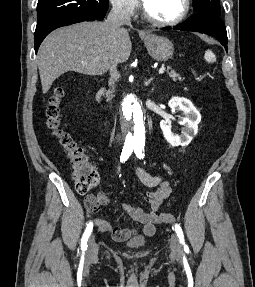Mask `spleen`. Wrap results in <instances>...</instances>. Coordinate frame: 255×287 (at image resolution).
<instances>
[{
    "label": "spleen",
    "instance_id": "1",
    "mask_svg": "<svg viewBox=\"0 0 255 287\" xmlns=\"http://www.w3.org/2000/svg\"><path fill=\"white\" fill-rule=\"evenodd\" d=\"M204 58L207 60V62H216V58L212 52H206Z\"/></svg>",
    "mask_w": 255,
    "mask_h": 287
}]
</instances>
